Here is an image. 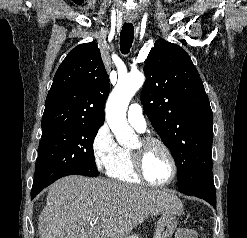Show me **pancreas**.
Here are the masks:
<instances>
[{"instance_id": "cf45deb5", "label": "pancreas", "mask_w": 247, "mask_h": 238, "mask_svg": "<svg viewBox=\"0 0 247 238\" xmlns=\"http://www.w3.org/2000/svg\"><path fill=\"white\" fill-rule=\"evenodd\" d=\"M120 238H140L138 235H131V236H123Z\"/></svg>"}]
</instances>
